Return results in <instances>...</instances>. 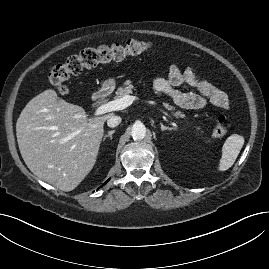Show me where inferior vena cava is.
Wrapping results in <instances>:
<instances>
[{"label":"inferior vena cava","mask_w":269,"mask_h":269,"mask_svg":"<svg viewBox=\"0 0 269 269\" xmlns=\"http://www.w3.org/2000/svg\"><path fill=\"white\" fill-rule=\"evenodd\" d=\"M122 119L119 116L111 115L107 119V125L111 128L118 126L121 123Z\"/></svg>","instance_id":"1"}]
</instances>
